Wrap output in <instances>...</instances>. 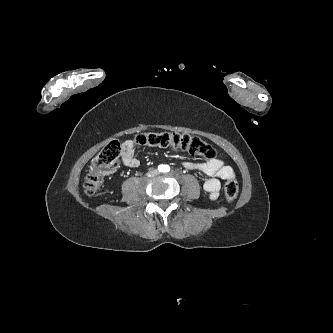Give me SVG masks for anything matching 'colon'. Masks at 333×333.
Instances as JSON below:
<instances>
[{"label":"colon","mask_w":333,"mask_h":333,"mask_svg":"<svg viewBox=\"0 0 333 333\" xmlns=\"http://www.w3.org/2000/svg\"><path fill=\"white\" fill-rule=\"evenodd\" d=\"M134 143L148 147H174L185 150L194 156L207 160L215 157V150L202 139L188 134L172 132H147L138 134ZM121 144L112 141L107 144L93 159L89 173L84 182V190L87 195H94L99 190L105 175L115 171L119 167ZM239 186L234 178L227 179L224 187L225 198L233 202L238 195Z\"/></svg>","instance_id":"obj_1"}]
</instances>
